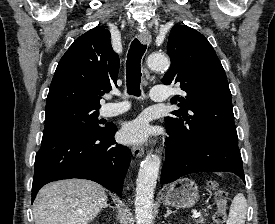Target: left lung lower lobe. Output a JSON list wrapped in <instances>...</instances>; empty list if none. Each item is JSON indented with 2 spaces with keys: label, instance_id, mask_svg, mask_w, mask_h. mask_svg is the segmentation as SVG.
Here are the masks:
<instances>
[{
  "label": "left lung lower lobe",
  "instance_id": "left-lung-lower-lobe-1",
  "mask_svg": "<svg viewBox=\"0 0 275 224\" xmlns=\"http://www.w3.org/2000/svg\"><path fill=\"white\" fill-rule=\"evenodd\" d=\"M166 126L169 137L166 140L161 184L187 174L206 171L232 172L245 182L237 135L215 133L207 129L183 134Z\"/></svg>",
  "mask_w": 275,
  "mask_h": 224
}]
</instances>
